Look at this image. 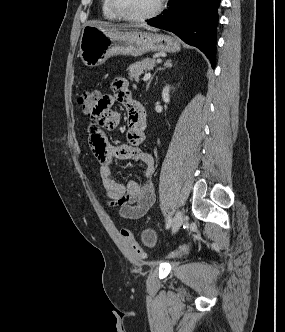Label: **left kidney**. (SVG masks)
Returning <instances> with one entry per match:
<instances>
[{
  "mask_svg": "<svg viewBox=\"0 0 285 332\" xmlns=\"http://www.w3.org/2000/svg\"><path fill=\"white\" fill-rule=\"evenodd\" d=\"M169 91H170V87L169 85H166L162 91V99L165 103H169L170 102V96H169Z\"/></svg>",
  "mask_w": 285,
  "mask_h": 332,
  "instance_id": "1",
  "label": "left kidney"
}]
</instances>
